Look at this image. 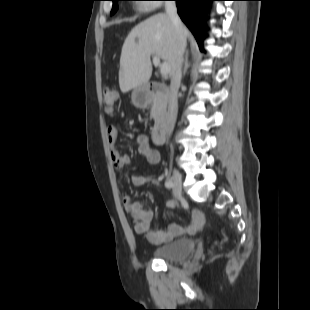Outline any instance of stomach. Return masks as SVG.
I'll return each instance as SVG.
<instances>
[{
  "mask_svg": "<svg viewBox=\"0 0 310 310\" xmlns=\"http://www.w3.org/2000/svg\"><path fill=\"white\" fill-rule=\"evenodd\" d=\"M148 95L143 87H137L132 92V102L137 107H143L147 104Z\"/></svg>",
  "mask_w": 310,
  "mask_h": 310,
  "instance_id": "stomach-1",
  "label": "stomach"
}]
</instances>
